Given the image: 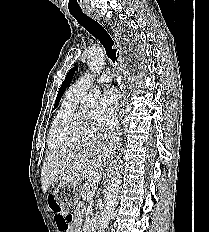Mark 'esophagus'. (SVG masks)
<instances>
[{"label":"esophagus","mask_w":209,"mask_h":232,"mask_svg":"<svg viewBox=\"0 0 209 232\" xmlns=\"http://www.w3.org/2000/svg\"><path fill=\"white\" fill-rule=\"evenodd\" d=\"M85 13L92 17L93 19L95 20H99V17L96 15V13L93 12L92 9H85ZM120 89L122 90V93H121V101H120V105H119V108H118V112L119 114H122L124 112V108H125V103H126V97H125V92H124V89H123V83H120Z\"/></svg>","instance_id":"esophagus-1"}]
</instances>
